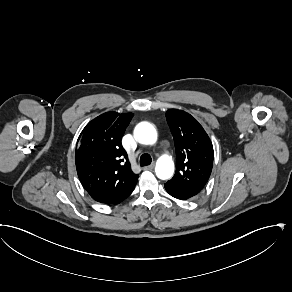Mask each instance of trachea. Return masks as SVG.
<instances>
[{
    "label": "trachea",
    "mask_w": 292,
    "mask_h": 292,
    "mask_svg": "<svg viewBox=\"0 0 292 292\" xmlns=\"http://www.w3.org/2000/svg\"><path fill=\"white\" fill-rule=\"evenodd\" d=\"M151 162H152V158L148 153H144L141 155V157H140V166L141 167L148 166L151 164Z\"/></svg>",
    "instance_id": "trachea-1"
}]
</instances>
